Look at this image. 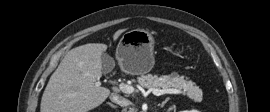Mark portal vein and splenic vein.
Masks as SVG:
<instances>
[{
	"label": "portal vein and splenic vein",
	"mask_w": 270,
	"mask_h": 112,
	"mask_svg": "<svg viewBox=\"0 0 270 112\" xmlns=\"http://www.w3.org/2000/svg\"><path fill=\"white\" fill-rule=\"evenodd\" d=\"M97 84L100 86L99 81L97 82ZM119 88L123 93H127V94H131V93H133L135 91V88L133 86L127 85V84H124V83H121L119 85ZM151 91L156 96H160V95H164V94H180V93H182L181 90L174 89V88H169V89H155V88H152Z\"/></svg>",
	"instance_id": "1"
}]
</instances>
